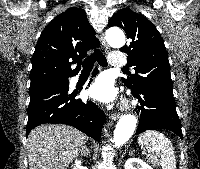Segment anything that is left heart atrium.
I'll use <instances>...</instances> for the list:
<instances>
[{"instance_id":"39dd6f15","label":"left heart atrium","mask_w":200,"mask_h":169,"mask_svg":"<svg viewBox=\"0 0 200 169\" xmlns=\"http://www.w3.org/2000/svg\"><path fill=\"white\" fill-rule=\"evenodd\" d=\"M89 95L99 102L109 103L115 100L117 90L109 78L101 76L89 89Z\"/></svg>"}]
</instances>
